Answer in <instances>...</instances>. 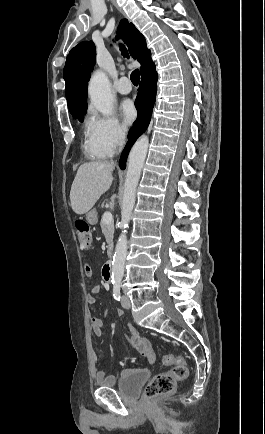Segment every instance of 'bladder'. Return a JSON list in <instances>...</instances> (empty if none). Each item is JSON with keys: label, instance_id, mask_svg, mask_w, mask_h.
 Listing matches in <instances>:
<instances>
[{"label": "bladder", "instance_id": "1", "mask_svg": "<svg viewBox=\"0 0 265 434\" xmlns=\"http://www.w3.org/2000/svg\"><path fill=\"white\" fill-rule=\"evenodd\" d=\"M150 376V372L144 368H128L121 371L117 391L120 397L135 399Z\"/></svg>", "mask_w": 265, "mask_h": 434}]
</instances>
